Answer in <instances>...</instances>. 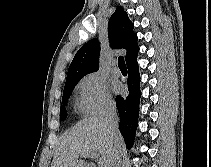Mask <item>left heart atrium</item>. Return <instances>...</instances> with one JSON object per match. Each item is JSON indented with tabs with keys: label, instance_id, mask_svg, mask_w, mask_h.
<instances>
[{
	"label": "left heart atrium",
	"instance_id": "obj_1",
	"mask_svg": "<svg viewBox=\"0 0 211 167\" xmlns=\"http://www.w3.org/2000/svg\"><path fill=\"white\" fill-rule=\"evenodd\" d=\"M112 88H113V90H114L115 92H119V91L121 90V86H120V84H118V83H114V84L112 85Z\"/></svg>",
	"mask_w": 211,
	"mask_h": 167
}]
</instances>
